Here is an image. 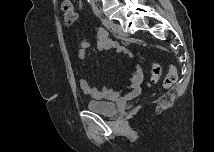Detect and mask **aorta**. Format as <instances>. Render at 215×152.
I'll return each instance as SVG.
<instances>
[{
    "mask_svg": "<svg viewBox=\"0 0 215 152\" xmlns=\"http://www.w3.org/2000/svg\"><path fill=\"white\" fill-rule=\"evenodd\" d=\"M90 2H91V6L95 7V1L94 0H90Z\"/></svg>",
    "mask_w": 215,
    "mask_h": 152,
    "instance_id": "762f6f07",
    "label": "aorta"
}]
</instances>
